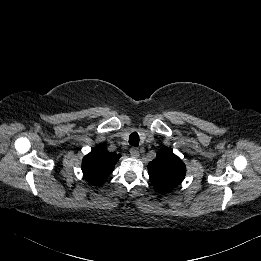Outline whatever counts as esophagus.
I'll return each instance as SVG.
<instances>
[{
    "mask_svg": "<svg viewBox=\"0 0 261 261\" xmlns=\"http://www.w3.org/2000/svg\"><path fill=\"white\" fill-rule=\"evenodd\" d=\"M130 155H131V157H133V158H138L139 157V150L136 148V147H132L131 149H130Z\"/></svg>",
    "mask_w": 261,
    "mask_h": 261,
    "instance_id": "obj_1",
    "label": "esophagus"
}]
</instances>
